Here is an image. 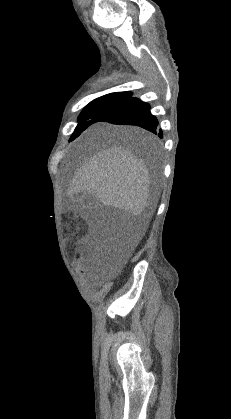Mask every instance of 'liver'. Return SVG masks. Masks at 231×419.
Listing matches in <instances>:
<instances>
[{
    "label": "liver",
    "mask_w": 231,
    "mask_h": 419,
    "mask_svg": "<svg viewBox=\"0 0 231 419\" xmlns=\"http://www.w3.org/2000/svg\"><path fill=\"white\" fill-rule=\"evenodd\" d=\"M115 130L143 144L155 143L151 134L137 127H116ZM149 188L150 176L143 160L130 148L113 145L83 164L70 185L69 195L80 192L93 195L105 205L141 215L149 206ZM154 211L155 205L145 213L142 234Z\"/></svg>",
    "instance_id": "liver-1"
}]
</instances>
